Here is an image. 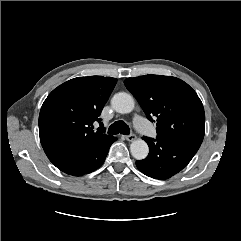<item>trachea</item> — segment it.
Masks as SVG:
<instances>
[{"mask_svg": "<svg viewBox=\"0 0 241 241\" xmlns=\"http://www.w3.org/2000/svg\"><path fill=\"white\" fill-rule=\"evenodd\" d=\"M109 134H130V128L124 121H116L112 125H110L108 129Z\"/></svg>", "mask_w": 241, "mask_h": 241, "instance_id": "1", "label": "trachea"}]
</instances>
